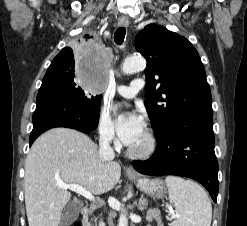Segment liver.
I'll return each instance as SVG.
<instances>
[{
  "label": "liver",
  "mask_w": 247,
  "mask_h": 226,
  "mask_svg": "<svg viewBox=\"0 0 247 226\" xmlns=\"http://www.w3.org/2000/svg\"><path fill=\"white\" fill-rule=\"evenodd\" d=\"M121 176L119 163L102 161L85 134L54 128L33 143L25 161L24 192L29 226H58L71 199L57 183L77 184L93 194L111 191Z\"/></svg>",
  "instance_id": "6515ba94"
}]
</instances>
